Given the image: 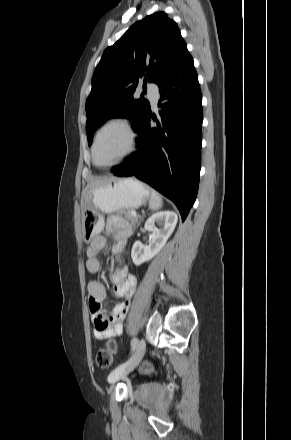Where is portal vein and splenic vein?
Instances as JSON below:
<instances>
[{"label": "portal vein and splenic vein", "instance_id": "portal-vein-and-splenic-vein-1", "mask_svg": "<svg viewBox=\"0 0 291 440\" xmlns=\"http://www.w3.org/2000/svg\"><path fill=\"white\" fill-rule=\"evenodd\" d=\"M131 215L134 216V217H136V216H137L136 211H131Z\"/></svg>", "mask_w": 291, "mask_h": 440}]
</instances>
